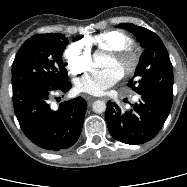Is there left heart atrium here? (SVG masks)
Listing matches in <instances>:
<instances>
[{
  "instance_id": "1",
  "label": "left heart atrium",
  "mask_w": 187,
  "mask_h": 187,
  "mask_svg": "<svg viewBox=\"0 0 187 187\" xmlns=\"http://www.w3.org/2000/svg\"><path fill=\"white\" fill-rule=\"evenodd\" d=\"M121 78V72L116 68L107 67L101 70H91L75 81V88L80 93L102 95L115 85Z\"/></svg>"
}]
</instances>
